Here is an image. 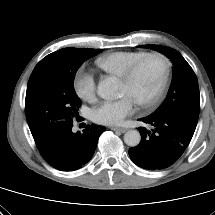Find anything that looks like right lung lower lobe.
<instances>
[{
    "mask_svg": "<svg viewBox=\"0 0 215 215\" xmlns=\"http://www.w3.org/2000/svg\"><path fill=\"white\" fill-rule=\"evenodd\" d=\"M104 126L88 125L82 133L72 132V124L36 144L42 157L61 171L81 168L93 156Z\"/></svg>",
    "mask_w": 215,
    "mask_h": 215,
    "instance_id": "98d812e1",
    "label": "right lung lower lobe"
}]
</instances>
